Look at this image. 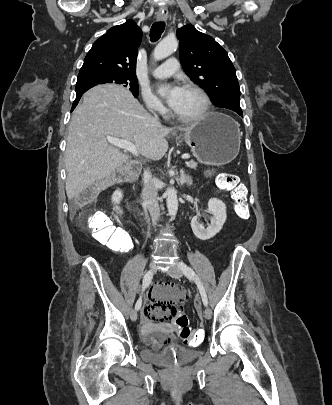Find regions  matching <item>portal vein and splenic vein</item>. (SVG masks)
I'll return each instance as SVG.
<instances>
[{
	"label": "portal vein and splenic vein",
	"mask_w": 332,
	"mask_h": 405,
	"mask_svg": "<svg viewBox=\"0 0 332 405\" xmlns=\"http://www.w3.org/2000/svg\"><path fill=\"white\" fill-rule=\"evenodd\" d=\"M106 139L113 146L123 149V150H127L130 153H132L133 155L138 156L137 148L132 142H129L126 140H121L119 138H114L111 136H107ZM188 158H189V156L187 154H184L182 156V159H188ZM186 164H188V162H186Z\"/></svg>",
	"instance_id": "18ae733b"
}]
</instances>
